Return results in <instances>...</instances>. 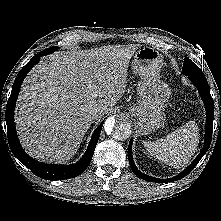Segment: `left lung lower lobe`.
I'll list each match as a JSON object with an SVG mask.
<instances>
[{
    "mask_svg": "<svg viewBox=\"0 0 221 221\" xmlns=\"http://www.w3.org/2000/svg\"><path fill=\"white\" fill-rule=\"evenodd\" d=\"M189 79L192 83L197 87L201 98L204 102L206 108V133H205V142L202 151L196 157V159L179 175L169 178V179H158L140 172L134 164L133 156H132V139L129 142L128 146V159L133 173L139 178L149 181V182H157V183H167L172 181L180 180L181 178L188 175L194 167L198 164L204 154L207 152L211 139H212V131H213V119H214V102L210 94L209 85L205 75H188Z\"/></svg>",
    "mask_w": 221,
    "mask_h": 221,
    "instance_id": "obj_1",
    "label": "left lung lower lobe"
}]
</instances>
